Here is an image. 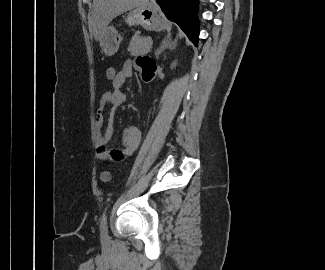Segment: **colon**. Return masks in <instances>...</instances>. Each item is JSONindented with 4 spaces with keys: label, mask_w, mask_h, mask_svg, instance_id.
<instances>
[{
    "label": "colon",
    "mask_w": 325,
    "mask_h": 270,
    "mask_svg": "<svg viewBox=\"0 0 325 270\" xmlns=\"http://www.w3.org/2000/svg\"><path fill=\"white\" fill-rule=\"evenodd\" d=\"M118 70L114 66H108L105 71V76L108 82L114 83L117 80ZM111 178L109 171H103L100 174V180L102 182H108Z\"/></svg>",
    "instance_id": "obj_1"
}]
</instances>
